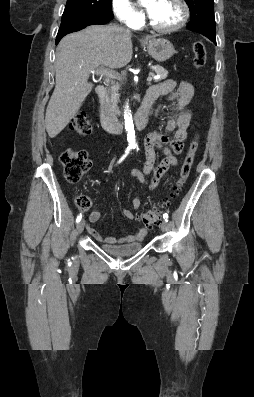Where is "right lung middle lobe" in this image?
Here are the masks:
<instances>
[{
    "instance_id": "1",
    "label": "right lung middle lobe",
    "mask_w": 254,
    "mask_h": 397,
    "mask_svg": "<svg viewBox=\"0 0 254 397\" xmlns=\"http://www.w3.org/2000/svg\"><path fill=\"white\" fill-rule=\"evenodd\" d=\"M112 0H67L65 10H73L93 16L112 15Z\"/></svg>"
}]
</instances>
